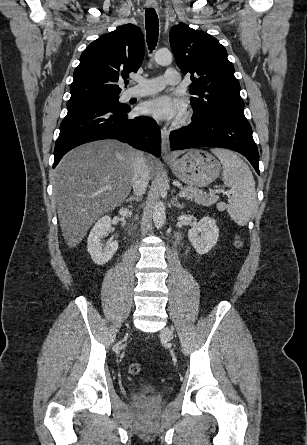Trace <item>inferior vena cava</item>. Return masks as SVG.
Returning <instances> with one entry per match:
<instances>
[{"mask_svg":"<svg viewBox=\"0 0 307 445\" xmlns=\"http://www.w3.org/2000/svg\"><path fill=\"white\" fill-rule=\"evenodd\" d=\"M149 180L148 166L143 152H137L134 158L132 186L135 194L141 196L146 190Z\"/></svg>","mask_w":307,"mask_h":445,"instance_id":"1","label":"inferior vena cava"}]
</instances>
